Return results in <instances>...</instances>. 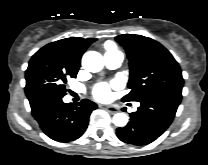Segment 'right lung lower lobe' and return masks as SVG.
Instances as JSON below:
<instances>
[{"label": "right lung lower lobe", "mask_w": 208, "mask_h": 165, "mask_svg": "<svg viewBox=\"0 0 208 165\" xmlns=\"http://www.w3.org/2000/svg\"><path fill=\"white\" fill-rule=\"evenodd\" d=\"M96 108L97 105L88 99L75 106L64 103L62 98H50L31 107V111L48 137L59 142H70L82 136L89 116Z\"/></svg>", "instance_id": "obj_1"}]
</instances>
